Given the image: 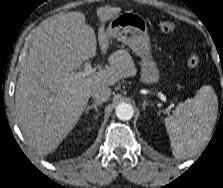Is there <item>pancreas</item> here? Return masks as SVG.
<instances>
[{
    "label": "pancreas",
    "mask_w": 223,
    "mask_h": 188,
    "mask_svg": "<svg viewBox=\"0 0 223 188\" xmlns=\"http://www.w3.org/2000/svg\"><path fill=\"white\" fill-rule=\"evenodd\" d=\"M113 57L122 58L123 60H126L127 62L130 63L132 61L130 54L126 50H118L116 53L113 54Z\"/></svg>",
    "instance_id": "pancreas-1"
}]
</instances>
